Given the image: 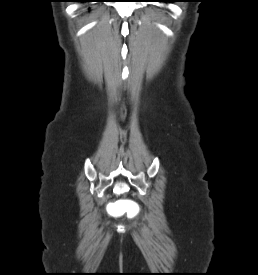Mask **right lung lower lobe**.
Wrapping results in <instances>:
<instances>
[{"label": "right lung lower lobe", "instance_id": "98d812e1", "mask_svg": "<svg viewBox=\"0 0 258 275\" xmlns=\"http://www.w3.org/2000/svg\"><path fill=\"white\" fill-rule=\"evenodd\" d=\"M80 1H82V2H86V1H90V0H80Z\"/></svg>", "mask_w": 258, "mask_h": 275}]
</instances>
